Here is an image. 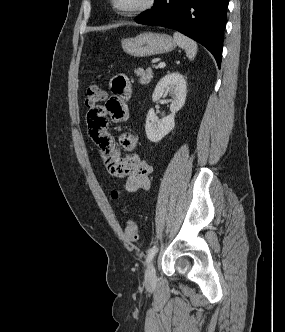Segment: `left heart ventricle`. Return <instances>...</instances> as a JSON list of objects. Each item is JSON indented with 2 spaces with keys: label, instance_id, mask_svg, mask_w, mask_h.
I'll use <instances>...</instances> for the list:
<instances>
[{
  "label": "left heart ventricle",
  "instance_id": "obj_1",
  "mask_svg": "<svg viewBox=\"0 0 285 332\" xmlns=\"http://www.w3.org/2000/svg\"><path fill=\"white\" fill-rule=\"evenodd\" d=\"M144 0H117V5L123 9H129L143 3Z\"/></svg>",
  "mask_w": 285,
  "mask_h": 332
}]
</instances>
